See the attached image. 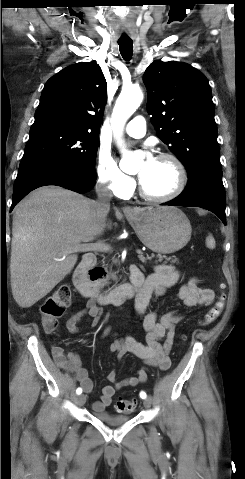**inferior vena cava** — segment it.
<instances>
[{
  "label": "inferior vena cava",
  "instance_id": "602c4592",
  "mask_svg": "<svg viewBox=\"0 0 245 479\" xmlns=\"http://www.w3.org/2000/svg\"><path fill=\"white\" fill-rule=\"evenodd\" d=\"M96 193L98 199L96 201H91V212L95 217L96 221L99 223L101 231L105 227V219L110 210V201L112 198V192L104 184V182H98L96 185Z\"/></svg>",
  "mask_w": 245,
  "mask_h": 479
}]
</instances>
